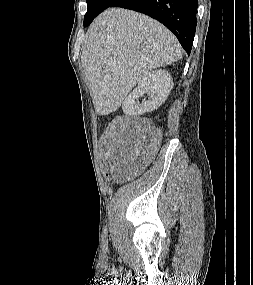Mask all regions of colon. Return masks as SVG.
<instances>
[{
	"label": "colon",
	"instance_id": "5ec220e1",
	"mask_svg": "<svg viewBox=\"0 0 253 285\" xmlns=\"http://www.w3.org/2000/svg\"><path fill=\"white\" fill-rule=\"evenodd\" d=\"M101 145V158L103 159L100 161L101 167L98 168V171L103 172L106 180H113L114 176L108 175V172L113 171V161L111 159V143H109V140H101Z\"/></svg>",
	"mask_w": 253,
	"mask_h": 285
}]
</instances>
